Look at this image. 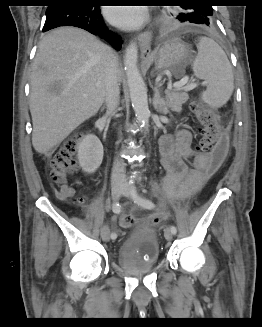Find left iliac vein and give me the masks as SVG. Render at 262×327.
I'll return each mask as SVG.
<instances>
[{
  "label": "left iliac vein",
  "instance_id": "4c4485c4",
  "mask_svg": "<svg viewBox=\"0 0 262 327\" xmlns=\"http://www.w3.org/2000/svg\"><path fill=\"white\" fill-rule=\"evenodd\" d=\"M133 191L137 194L136 189L133 185H130V184H127L124 182L121 194L126 197L131 198L135 202ZM164 236H165L166 240L170 241V240H172L173 233L171 232V230L169 228H166L164 231Z\"/></svg>",
  "mask_w": 262,
  "mask_h": 327
}]
</instances>
